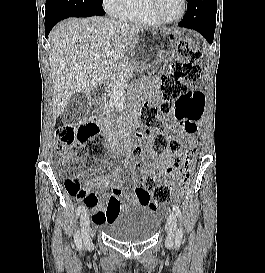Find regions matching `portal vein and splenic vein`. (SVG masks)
Here are the masks:
<instances>
[{
  "instance_id": "18ae733b",
  "label": "portal vein and splenic vein",
  "mask_w": 265,
  "mask_h": 273,
  "mask_svg": "<svg viewBox=\"0 0 265 273\" xmlns=\"http://www.w3.org/2000/svg\"><path fill=\"white\" fill-rule=\"evenodd\" d=\"M100 57V54H96L95 56V59L99 58Z\"/></svg>"
}]
</instances>
